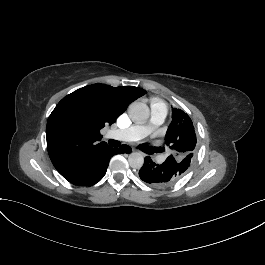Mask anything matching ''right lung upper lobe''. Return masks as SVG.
<instances>
[{
  "instance_id": "right-lung-upper-lobe-1",
  "label": "right lung upper lobe",
  "mask_w": 265,
  "mask_h": 265,
  "mask_svg": "<svg viewBox=\"0 0 265 265\" xmlns=\"http://www.w3.org/2000/svg\"><path fill=\"white\" fill-rule=\"evenodd\" d=\"M134 86L93 84L64 97L48 118L47 149L56 170L65 176L84 158L108 145L100 130L112 124L127 106L143 96Z\"/></svg>"
}]
</instances>
